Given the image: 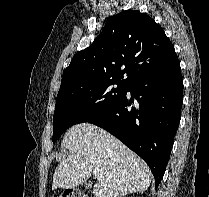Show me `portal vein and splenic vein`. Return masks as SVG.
I'll list each match as a JSON object with an SVG mask.
<instances>
[{"label": "portal vein and splenic vein", "mask_w": 209, "mask_h": 197, "mask_svg": "<svg viewBox=\"0 0 209 197\" xmlns=\"http://www.w3.org/2000/svg\"><path fill=\"white\" fill-rule=\"evenodd\" d=\"M93 175L97 178L102 177L99 170L97 168L93 169Z\"/></svg>", "instance_id": "obj_1"}]
</instances>
